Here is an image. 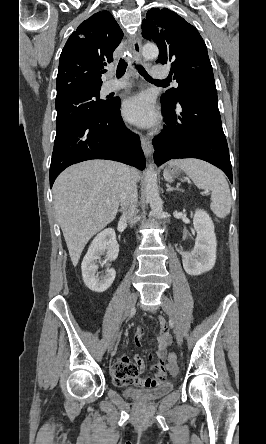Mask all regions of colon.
<instances>
[{
	"mask_svg": "<svg viewBox=\"0 0 266 444\" xmlns=\"http://www.w3.org/2000/svg\"><path fill=\"white\" fill-rule=\"evenodd\" d=\"M168 362H169L168 365L170 366L171 370L173 372H175L177 364H178V357H177V355L174 354V353H170L169 356H168Z\"/></svg>",
	"mask_w": 266,
	"mask_h": 444,
	"instance_id": "obj_1",
	"label": "colon"
}]
</instances>
